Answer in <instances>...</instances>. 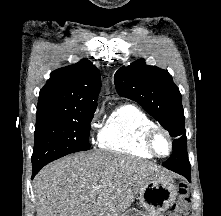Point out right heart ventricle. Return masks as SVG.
<instances>
[{"label":"right heart ventricle","instance_id":"e07e8e85","mask_svg":"<svg viewBox=\"0 0 221 216\" xmlns=\"http://www.w3.org/2000/svg\"><path fill=\"white\" fill-rule=\"evenodd\" d=\"M153 125V120L138 106L130 103L120 105L103 123L98 134V146L118 154L153 158L143 146V134Z\"/></svg>","mask_w":221,"mask_h":216}]
</instances>
